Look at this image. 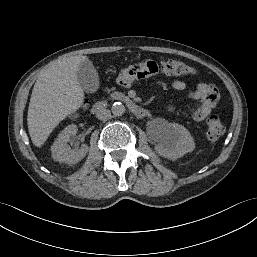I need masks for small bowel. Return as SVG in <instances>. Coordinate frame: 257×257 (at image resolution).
I'll use <instances>...</instances> for the list:
<instances>
[{
	"instance_id": "obj_1",
	"label": "small bowel",
	"mask_w": 257,
	"mask_h": 257,
	"mask_svg": "<svg viewBox=\"0 0 257 257\" xmlns=\"http://www.w3.org/2000/svg\"><path fill=\"white\" fill-rule=\"evenodd\" d=\"M159 73V66L152 59H138L130 64H122L115 73V80L122 87L138 86L141 83H153ZM169 88L182 92L187 88L186 83L176 74H171L166 79ZM188 98L198 100L195 105L187 106L196 121L204 120L216 106L219 92L210 82H201L197 87L188 92Z\"/></svg>"
}]
</instances>
